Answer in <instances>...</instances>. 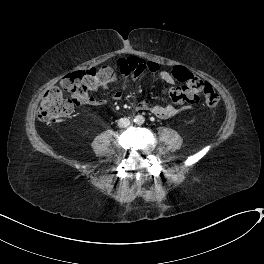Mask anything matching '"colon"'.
Listing matches in <instances>:
<instances>
[{
	"label": "colon",
	"instance_id": "obj_1",
	"mask_svg": "<svg viewBox=\"0 0 264 264\" xmlns=\"http://www.w3.org/2000/svg\"><path fill=\"white\" fill-rule=\"evenodd\" d=\"M124 62L102 64L97 68L85 71H73L63 76L59 83L48 89L39 104L37 115L45 123H52L68 117L82 103L87 93L105 81L115 71L124 68ZM173 77L181 86L169 88L166 92L170 100L176 104L192 103L197 99L201 88L208 106H215L219 101L218 92L209 84L201 82L182 67L172 70Z\"/></svg>",
	"mask_w": 264,
	"mask_h": 264
}]
</instances>
